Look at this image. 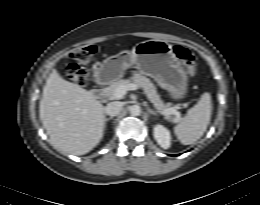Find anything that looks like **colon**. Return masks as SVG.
<instances>
[{
    "label": "colon",
    "mask_w": 260,
    "mask_h": 205,
    "mask_svg": "<svg viewBox=\"0 0 260 205\" xmlns=\"http://www.w3.org/2000/svg\"><path fill=\"white\" fill-rule=\"evenodd\" d=\"M96 52V46L89 45L71 53V59L66 64V72L74 83L80 86L86 85L89 75L87 66ZM174 53L184 64L187 73L193 76L197 69L194 54L188 48L180 45L174 47Z\"/></svg>",
    "instance_id": "colon-1"
}]
</instances>
